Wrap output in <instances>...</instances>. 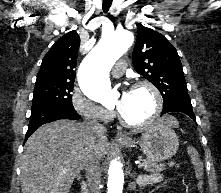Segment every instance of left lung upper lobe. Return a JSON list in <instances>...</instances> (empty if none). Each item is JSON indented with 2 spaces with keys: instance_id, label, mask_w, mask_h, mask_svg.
Returning a JSON list of instances; mask_svg holds the SVG:
<instances>
[{
  "instance_id": "1",
  "label": "left lung upper lobe",
  "mask_w": 221,
  "mask_h": 193,
  "mask_svg": "<svg viewBox=\"0 0 221 193\" xmlns=\"http://www.w3.org/2000/svg\"><path fill=\"white\" fill-rule=\"evenodd\" d=\"M133 66L158 88L163 97V108L190 101L177 50L162 34L142 24L137 28Z\"/></svg>"
}]
</instances>
